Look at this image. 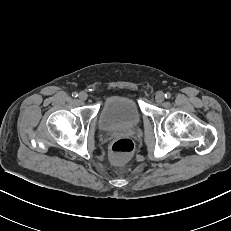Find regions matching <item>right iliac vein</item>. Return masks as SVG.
Segmentation results:
<instances>
[{"label":"right iliac vein","instance_id":"1","mask_svg":"<svg viewBox=\"0 0 231 231\" xmlns=\"http://www.w3.org/2000/svg\"><path fill=\"white\" fill-rule=\"evenodd\" d=\"M78 98L81 100V101H85L87 100L88 98V94L84 91L80 92L79 95H78Z\"/></svg>","mask_w":231,"mask_h":231}]
</instances>
